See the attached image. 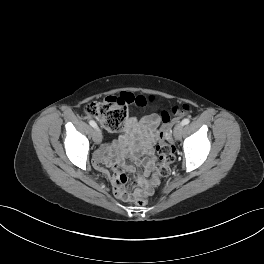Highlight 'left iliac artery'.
Listing matches in <instances>:
<instances>
[{
  "mask_svg": "<svg viewBox=\"0 0 264 264\" xmlns=\"http://www.w3.org/2000/svg\"><path fill=\"white\" fill-rule=\"evenodd\" d=\"M189 123H190V119H189V118H185V119H183L182 122H181L182 125H187V124H189Z\"/></svg>",
  "mask_w": 264,
  "mask_h": 264,
  "instance_id": "1",
  "label": "left iliac artery"
}]
</instances>
